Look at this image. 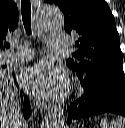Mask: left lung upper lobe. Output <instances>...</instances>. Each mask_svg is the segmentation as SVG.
Instances as JSON below:
<instances>
[{
  "label": "left lung upper lobe",
  "instance_id": "left-lung-upper-lobe-1",
  "mask_svg": "<svg viewBox=\"0 0 125 128\" xmlns=\"http://www.w3.org/2000/svg\"><path fill=\"white\" fill-rule=\"evenodd\" d=\"M60 7L66 32L79 35L77 51L67 65L89 87L95 88L115 76H124L119 34L105 0H44Z\"/></svg>",
  "mask_w": 125,
  "mask_h": 128
}]
</instances>
